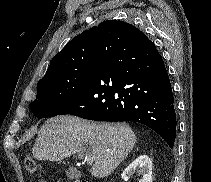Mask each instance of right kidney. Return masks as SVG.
Segmentation results:
<instances>
[{
  "instance_id": "obj_1",
  "label": "right kidney",
  "mask_w": 211,
  "mask_h": 182,
  "mask_svg": "<svg viewBox=\"0 0 211 182\" xmlns=\"http://www.w3.org/2000/svg\"><path fill=\"white\" fill-rule=\"evenodd\" d=\"M141 175L139 182H152V161L147 155L137 157L122 173V179L127 180L133 173Z\"/></svg>"
}]
</instances>
